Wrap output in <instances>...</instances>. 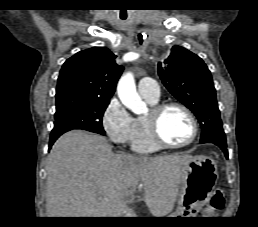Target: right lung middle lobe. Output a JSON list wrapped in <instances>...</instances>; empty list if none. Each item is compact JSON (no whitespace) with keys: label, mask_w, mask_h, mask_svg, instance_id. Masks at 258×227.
Returning a JSON list of instances; mask_svg holds the SVG:
<instances>
[{"label":"right lung middle lobe","mask_w":258,"mask_h":227,"mask_svg":"<svg viewBox=\"0 0 258 227\" xmlns=\"http://www.w3.org/2000/svg\"><path fill=\"white\" fill-rule=\"evenodd\" d=\"M108 104L109 101L87 99L75 95L58 97L56 98L54 127L83 129L104 135L102 117Z\"/></svg>","instance_id":"right-lung-middle-lobe-1"}]
</instances>
